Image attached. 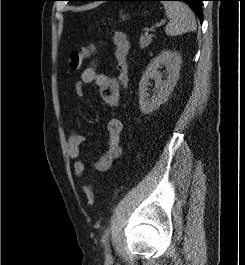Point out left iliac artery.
Instances as JSON below:
<instances>
[{
    "mask_svg": "<svg viewBox=\"0 0 245 265\" xmlns=\"http://www.w3.org/2000/svg\"><path fill=\"white\" fill-rule=\"evenodd\" d=\"M108 236H109V230H106L103 234L102 243L105 245L106 252L109 251L108 248Z\"/></svg>",
    "mask_w": 245,
    "mask_h": 265,
    "instance_id": "obj_1",
    "label": "left iliac artery"
}]
</instances>
